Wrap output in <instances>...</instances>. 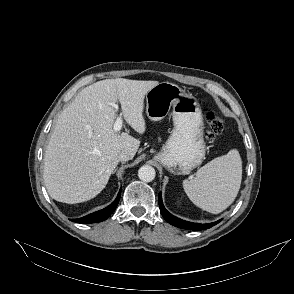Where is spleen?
I'll list each match as a JSON object with an SVG mask.
<instances>
[{"instance_id": "1", "label": "spleen", "mask_w": 294, "mask_h": 294, "mask_svg": "<svg viewBox=\"0 0 294 294\" xmlns=\"http://www.w3.org/2000/svg\"><path fill=\"white\" fill-rule=\"evenodd\" d=\"M242 180V162L236 149L201 167L196 177L183 181L184 191L199 208L218 214L235 200Z\"/></svg>"}]
</instances>
